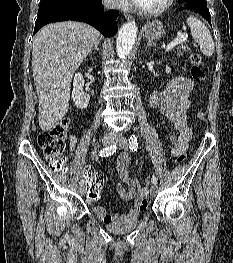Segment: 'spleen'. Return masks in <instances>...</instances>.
I'll return each mask as SVG.
<instances>
[{"label":"spleen","instance_id":"1","mask_svg":"<svg viewBox=\"0 0 233 263\" xmlns=\"http://www.w3.org/2000/svg\"><path fill=\"white\" fill-rule=\"evenodd\" d=\"M187 24L191 29L194 40L199 44L201 52L205 56H211L214 53L215 45L208 28L193 16L187 18Z\"/></svg>","mask_w":233,"mask_h":263}]
</instances>
